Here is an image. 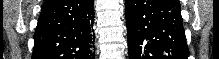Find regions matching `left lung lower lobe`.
<instances>
[{
    "instance_id": "obj_1",
    "label": "left lung lower lobe",
    "mask_w": 219,
    "mask_h": 59,
    "mask_svg": "<svg viewBox=\"0 0 219 59\" xmlns=\"http://www.w3.org/2000/svg\"><path fill=\"white\" fill-rule=\"evenodd\" d=\"M129 59H188L178 0H125Z\"/></svg>"
}]
</instances>
